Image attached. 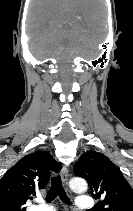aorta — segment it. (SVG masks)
<instances>
[{
  "label": "aorta",
  "mask_w": 133,
  "mask_h": 211,
  "mask_svg": "<svg viewBox=\"0 0 133 211\" xmlns=\"http://www.w3.org/2000/svg\"><path fill=\"white\" fill-rule=\"evenodd\" d=\"M70 188L76 193H84L87 191L88 185L87 182L80 177L72 178L69 182Z\"/></svg>",
  "instance_id": "aorta-1"
}]
</instances>
